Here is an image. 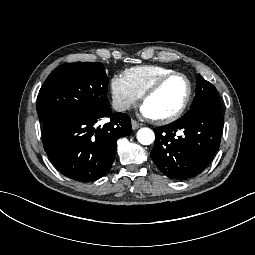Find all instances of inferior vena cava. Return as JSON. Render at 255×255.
Wrapping results in <instances>:
<instances>
[{
	"label": "inferior vena cava",
	"mask_w": 255,
	"mask_h": 255,
	"mask_svg": "<svg viewBox=\"0 0 255 255\" xmlns=\"http://www.w3.org/2000/svg\"><path fill=\"white\" fill-rule=\"evenodd\" d=\"M131 103L128 99L120 96L113 97V107L117 111H124L130 109Z\"/></svg>",
	"instance_id": "1"
}]
</instances>
